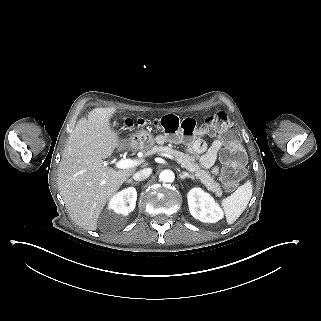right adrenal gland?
Returning a JSON list of instances; mask_svg holds the SVG:
<instances>
[{
  "label": "right adrenal gland",
  "instance_id": "1",
  "mask_svg": "<svg viewBox=\"0 0 321 321\" xmlns=\"http://www.w3.org/2000/svg\"><path fill=\"white\" fill-rule=\"evenodd\" d=\"M126 183L132 184V185H139V182H133V179L126 180Z\"/></svg>",
  "mask_w": 321,
  "mask_h": 321
}]
</instances>
